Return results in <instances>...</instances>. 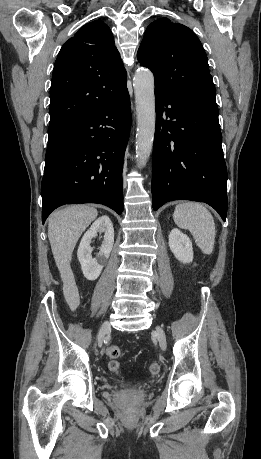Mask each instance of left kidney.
I'll return each instance as SVG.
<instances>
[{
  "instance_id": "obj_1",
  "label": "left kidney",
  "mask_w": 261,
  "mask_h": 459,
  "mask_svg": "<svg viewBox=\"0 0 261 459\" xmlns=\"http://www.w3.org/2000/svg\"><path fill=\"white\" fill-rule=\"evenodd\" d=\"M169 247L176 259L182 263L193 260V248L190 238L179 229L174 228L169 234Z\"/></svg>"
}]
</instances>
